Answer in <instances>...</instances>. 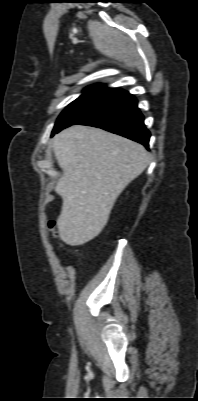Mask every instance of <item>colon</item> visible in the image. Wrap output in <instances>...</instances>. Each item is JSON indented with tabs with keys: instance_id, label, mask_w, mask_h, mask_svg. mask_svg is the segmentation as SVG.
I'll list each match as a JSON object with an SVG mask.
<instances>
[{
	"instance_id": "obj_1",
	"label": "colon",
	"mask_w": 198,
	"mask_h": 401,
	"mask_svg": "<svg viewBox=\"0 0 198 401\" xmlns=\"http://www.w3.org/2000/svg\"><path fill=\"white\" fill-rule=\"evenodd\" d=\"M48 226H49V230L51 231V233L55 234V223L50 222Z\"/></svg>"
}]
</instances>
